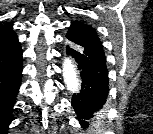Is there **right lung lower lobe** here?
I'll list each match as a JSON object with an SVG mask.
<instances>
[{"instance_id": "1", "label": "right lung lower lobe", "mask_w": 153, "mask_h": 134, "mask_svg": "<svg viewBox=\"0 0 153 134\" xmlns=\"http://www.w3.org/2000/svg\"><path fill=\"white\" fill-rule=\"evenodd\" d=\"M22 49L20 43L0 50V134H6L13 120L15 104L22 75Z\"/></svg>"}]
</instances>
